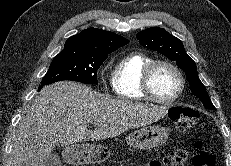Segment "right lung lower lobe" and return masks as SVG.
<instances>
[{"mask_svg":"<svg viewBox=\"0 0 231 166\" xmlns=\"http://www.w3.org/2000/svg\"><path fill=\"white\" fill-rule=\"evenodd\" d=\"M44 85L39 86L38 90H40Z\"/></svg>","mask_w":231,"mask_h":166,"instance_id":"right-lung-lower-lobe-1","label":"right lung lower lobe"}]
</instances>
